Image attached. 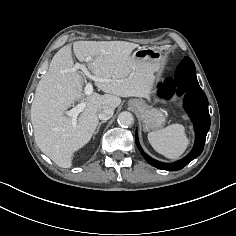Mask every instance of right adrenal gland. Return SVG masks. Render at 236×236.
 Returning a JSON list of instances; mask_svg holds the SVG:
<instances>
[{
	"mask_svg": "<svg viewBox=\"0 0 236 236\" xmlns=\"http://www.w3.org/2000/svg\"><path fill=\"white\" fill-rule=\"evenodd\" d=\"M103 123H106V120L101 121V122L98 124V127H97V130H96L95 134L98 133V131H99V129H100V127H101V125H102Z\"/></svg>",
	"mask_w": 236,
	"mask_h": 236,
	"instance_id": "1",
	"label": "right adrenal gland"
}]
</instances>
